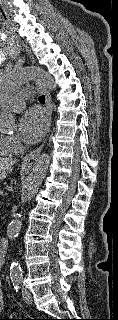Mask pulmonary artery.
Masks as SVG:
<instances>
[{
  "label": "pulmonary artery",
  "mask_w": 118,
  "mask_h": 320,
  "mask_svg": "<svg viewBox=\"0 0 118 320\" xmlns=\"http://www.w3.org/2000/svg\"><path fill=\"white\" fill-rule=\"evenodd\" d=\"M17 96L28 97L30 96L29 88H25L21 93ZM12 97L6 101V105L8 108H11L14 112H18L24 107V100L19 97Z\"/></svg>",
  "instance_id": "pulmonary-artery-1"
}]
</instances>
